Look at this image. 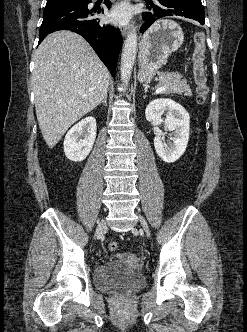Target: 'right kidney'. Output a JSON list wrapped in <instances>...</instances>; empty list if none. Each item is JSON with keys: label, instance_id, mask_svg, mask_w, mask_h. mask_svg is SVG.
I'll return each instance as SVG.
<instances>
[{"label": "right kidney", "instance_id": "ca27d5eb", "mask_svg": "<svg viewBox=\"0 0 247 332\" xmlns=\"http://www.w3.org/2000/svg\"><path fill=\"white\" fill-rule=\"evenodd\" d=\"M96 138V120L89 116L75 124L64 139L66 157L74 162L83 161L92 150Z\"/></svg>", "mask_w": 247, "mask_h": 332}]
</instances>
